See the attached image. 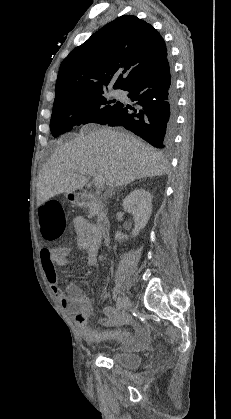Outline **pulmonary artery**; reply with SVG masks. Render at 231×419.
<instances>
[{"label":"pulmonary artery","mask_w":231,"mask_h":419,"mask_svg":"<svg viewBox=\"0 0 231 419\" xmlns=\"http://www.w3.org/2000/svg\"><path fill=\"white\" fill-rule=\"evenodd\" d=\"M115 94H116L117 96H120V95H121V92H120V91H116V92H115Z\"/></svg>","instance_id":"e3ab8cb5"}]
</instances>
